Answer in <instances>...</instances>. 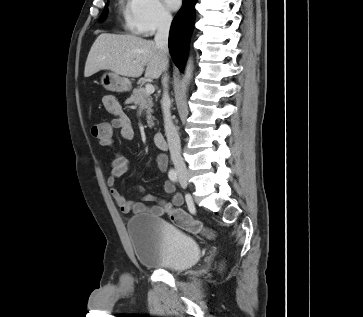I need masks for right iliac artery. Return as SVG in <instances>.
<instances>
[{
	"label": "right iliac artery",
	"mask_w": 363,
	"mask_h": 317,
	"mask_svg": "<svg viewBox=\"0 0 363 317\" xmlns=\"http://www.w3.org/2000/svg\"><path fill=\"white\" fill-rule=\"evenodd\" d=\"M168 176L171 181L177 182V172L174 170L169 171Z\"/></svg>",
	"instance_id": "right-iliac-artery-1"
}]
</instances>
